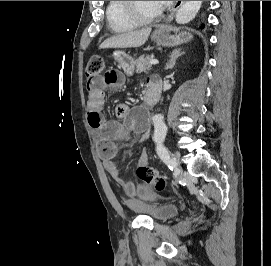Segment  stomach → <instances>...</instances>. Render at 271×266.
<instances>
[{
  "instance_id": "1",
  "label": "stomach",
  "mask_w": 271,
  "mask_h": 266,
  "mask_svg": "<svg viewBox=\"0 0 271 266\" xmlns=\"http://www.w3.org/2000/svg\"><path fill=\"white\" fill-rule=\"evenodd\" d=\"M151 38L159 45L173 47L189 42L193 36L187 31L171 34V28L163 27L154 31ZM112 56L126 73L130 74L133 71L134 60L131 56L119 50L113 52Z\"/></svg>"
}]
</instances>
